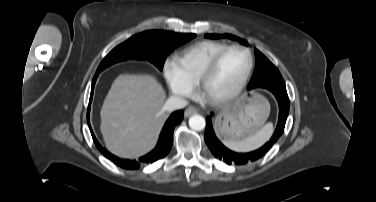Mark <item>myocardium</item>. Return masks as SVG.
Returning a JSON list of instances; mask_svg holds the SVG:
<instances>
[{"mask_svg": "<svg viewBox=\"0 0 376 202\" xmlns=\"http://www.w3.org/2000/svg\"><path fill=\"white\" fill-rule=\"evenodd\" d=\"M240 49L248 56V66L241 80L228 92L221 95H213L208 90L209 81L221 63L224 56L231 50ZM254 66V57L251 50L243 45H229L221 50L204 68L199 80L198 88L201 96L211 105H221L235 98L246 86Z\"/></svg>", "mask_w": 376, "mask_h": 202, "instance_id": "f54148a6", "label": "myocardium"}]
</instances>
